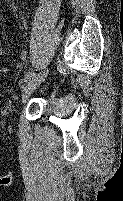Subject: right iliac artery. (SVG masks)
Segmentation results:
<instances>
[{"label":"right iliac artery","mask_w":123,"mask_h":201,"mask_svg":"<svg viewBox=\"0 0 123 201\" xmlns=\"http://www.w3.org/2000/svg\"><path fill=\"white\" fill-rule=\"evenodd\" d=\"M35 76V73L34 72H29V73H27L26 75H25V77H24V82H27V81H29L31 78H33Z\"/></svg>","instance_id":"obj_1"}]
</instances>
